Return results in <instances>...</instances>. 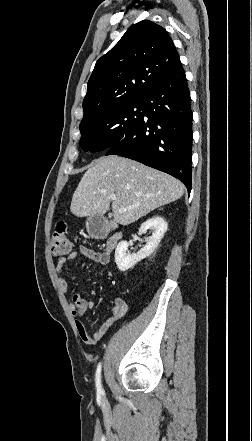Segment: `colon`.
Returning a JSON list of instances; mask_svg holds the SVG:
<instances>
[{
  "instance_id": "obj_1",
  "label": "colon",
  "mask_w": 252,
  "mask_h": 441,
  "mask_svg": "<svg viewBox=\"0 0 252 441\" xmlns=\"http://www.w3.org/2000/svg\"><path fill=\"white\" fill-rule=\"evenodd\" d=\"M71 250V243L66 236V225L58 224L51 240V252L54 256H65Z\"/></svg>"
}]
</instances>
